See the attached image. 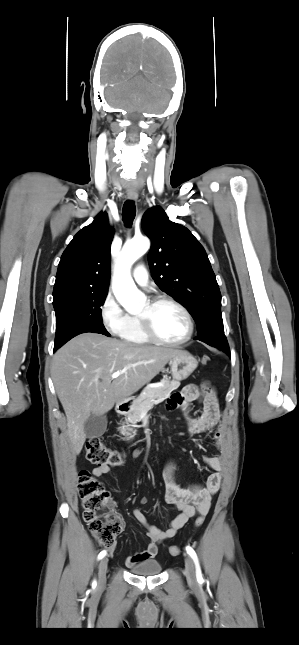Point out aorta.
I'll list each match as a JSON object with an SVG mask.
<instances>
[{"label": "aorta", "mask_w": 299, "mask_h": 645, "mask_svg": "<svg viewBox=\"0 0 299 645\" xmlns=\"http://www.w3.org/2000/svg\"><path fill=\"white\" fill-rule=\"evenodd\" d=\"M150 247L147 238L133 239L127 242L119 259L113 282V292L118 302L130 313L142 308L144 294L139 291L131 277L130 269L133 263L143 256Z\"/></svg>", "instance_id": "1"}]
</instances>
